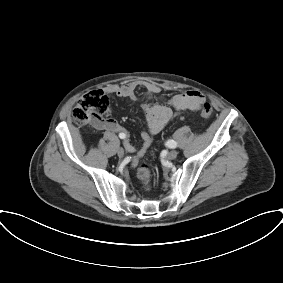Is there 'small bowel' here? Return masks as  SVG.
<instances>
[{
  "mask_svg": "<svg viewBox=\"0 0 283 283\" xmlns=\"http://www.w3.org/2000/svg\"><path fill=\"white\" fill-rule=\"evenodd\" d=\"M137 89H143L148 98L159 94L161 91V87L154 82H131L121 86L109 85L101 91L104 94H115L120 98L136 100ZM204 101L205 97L199 91L189 90L172 96L170 99L171 107L158 103H143L142 109L147 122V130L142 133V147L137 151L136 147L129 141L124 143L129 152H137L132 164L135 165L145 150L149 148L152 143V136L160 132L177 113L196 110L199 104ZM102 128L114 133H126L125 129L113 119L106 120Z\"/></svg>",
  "mask_w": 283,
  "mask_h": 283,
  "instance_id": "c3829d8e",
  "label": "small bowel"
}]
</instances>
